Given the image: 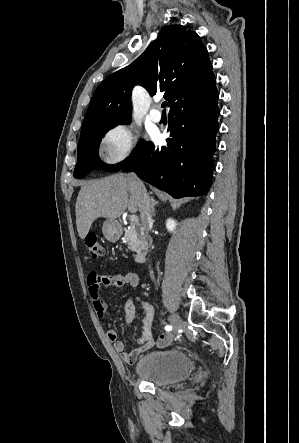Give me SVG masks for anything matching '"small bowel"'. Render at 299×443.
<instances>
[{
	"instance_id": "obj_1",
	"label": "small bowel",
	"mask_w": 299,
	"mask_h": 443,
	"mask_svg": "<svg viewBox=\"0 0 299 443\" xmlns=\"http://www.w3.org/2000/svg\"><path fill=\"white\" fill-rule=\"evenodd\" d=\"M123 285H130L133 287H138L140 285V278L135 273H128L125 275L115 274V275H98L91 272L88 276V289L89 294L92 299L94 310L99 318H104L107 314V304L102 296V287H121ZM136 303L139 304L143 311L144 317L142 320V334L139 339V347L133 349L132 351H125L124 342L118 339L117 332L111 328L108 324L107 338L113 343L114 350L120 354L121 359L124 363L132 365L138 356L153 348H164L169 346L173 338L170 334H161L156 336L152 331V324L154 318L153 306L142 299L140 296L135 298H128L124 304L125 310V324L130 325L136 315Z\"/></svg>"
}]
</instances>
